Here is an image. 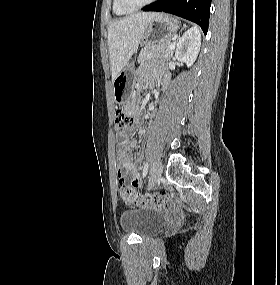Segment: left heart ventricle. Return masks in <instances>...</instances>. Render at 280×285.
Wrapping results in <instances>:
<instances>
[{
    "label": "left heart ventricle",
    "mask_w": 280,
    "mask_h": 285,
    "mask_svg": "<svg viewBox=\"0 0 280 285\" xmlns=\"http://www.w3.org/2000/svg\"><path fill=\"white\" fill-rule=\"evenodd\" d=\"M128 1L132 4L137 5V4H141V3L145 2L146 0H128Z\"/></svg>",
    "instance_id": "b2bd125f"
}]
</instances>
